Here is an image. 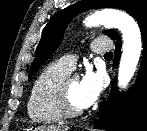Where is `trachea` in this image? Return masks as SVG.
Segmentation results:
<instances>
[{
	"label": "trachea",
	"mask_w": 147,
	"mask_h": 131,
	"mask_svg": "<svg viewBox=\"0 0 147 131\" xmlns=\"http://www.w3.org/2000/svg\"><path fill=\"white\" fill-rule=\"evenodd\" d=\"M112 56H113L112 52H107L104 54V57H106V58H111Z\"/></svg>",
	"instance_id": "3493384b"
}]
</instances>
